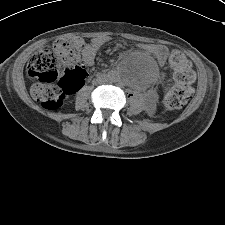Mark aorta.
Masks as SVG:
<instances>
[{
  "label": "aorta",
  "mask_w": 225,
  "mask_h": 225,
  "mask_svg": "<svg viewBox=\"0 0 225 225\" xmlns=\"http://www.w3.org/2000/svg\"><path fill=\"white\" fill-rule=\"evenodd\" d=\"M110 80H111L112 82H117L119 79H118V77H116V76H111V77H110Z\"/></svg>",
  "instance_id": "aorta-1"
}]
</instances>
